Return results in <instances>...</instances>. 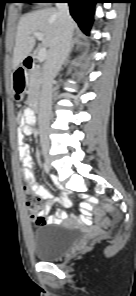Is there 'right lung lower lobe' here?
Returning a JSON list of instances; mask_svg holds the SVG:
<instances>
[{
    "label": "right lung lower lobe",
    "mask_w": 136,
    "mask_h": 296,
    "mask_svg": "<svg viewBox=\"0 0 136 296\" xmlns=\"http://www.w3.org/2000/svg\"><path fill=\"white\" fill-rule=\"evenodd\" d=\"M56 1H65L69 3L70 14L74 20L78 23L79 27L83 32L89 34L94 13V5L97 2L96 0H52Z\"/></svg>",
    "instance_id": "obj_1"
}]
</instances>
